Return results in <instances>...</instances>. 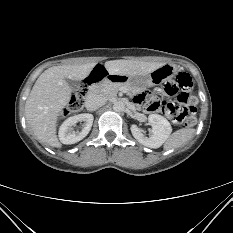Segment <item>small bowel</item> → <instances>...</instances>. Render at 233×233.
<instances>
[{
    "mask_svg": "<svg viewBox=\"0 0 233 233\" xmlns=\"http://www.w3.org/2000/svg\"><path fill=\"white\" fill-rule=\"evenodd\" d=\"M154 98H156V97H154V96H149L148 98H146V102H145V108H146V110L147 111H149L148 109H147V105L154 99ZM141 99H144V96H138L137 97V100H141ZM150 112V111H149Z\"/></svg>",
    "mask_w": 233,
    "mask_h": 233,
    "instance_id": "obj_1",
    "label": "small bowel"
}]
</instances>
